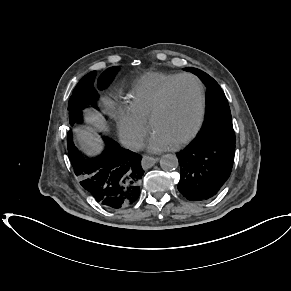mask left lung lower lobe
I'll list each match as a JSON object with an SVG mask.
<instances>
[{
	"label": "left lung lower lobe",
	"mask_w": 291,
	"mask_h": 291,
	"mask_svg": "<svg viewBox=\"0 0 291 291\" xmlns=\"http://www.w3.org/2000/svg\"><path fill=\"white\" fill-rule=\"evenodd\" d=\"M234 156L235 144L196 137L177 153L179 192L190 201L213 198L228 180Z\"/></svg>",
	"instance_id": "left-lung-lower-lobe-1"
}]
</instances>
